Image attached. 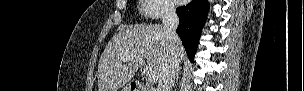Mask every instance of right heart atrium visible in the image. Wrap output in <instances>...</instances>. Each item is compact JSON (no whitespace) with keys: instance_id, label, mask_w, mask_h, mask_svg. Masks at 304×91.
Wrapping results in <instances>:
<instances>
[{"instance_id":"right-heart-atrium-1","label":"right heart atrium","mask_w":304,"mask_h":91,"mask_svg":"<svg viewBox=\"0 0 304 91\" xmlns=\"http://www.w3.org/2000/svg\"><path fill=\"white\" fill-rule=\"evenodd\" d=\"M142 9L145 17L149 19L164 17L172 12V6L168 0H143Z\"/></svg>"}]
</instances>
